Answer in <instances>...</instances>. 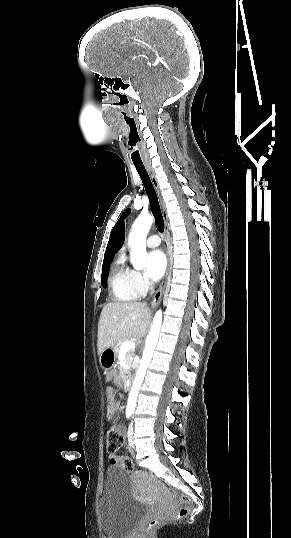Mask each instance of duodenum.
Listing matches in <instances>:
<instances>
[{
  "label": "duodenum",
  "mask_w": 291,
  "mask_h": 538,
  "mask_svg": "<svg viewBox=\"0 0 291 538\" xmlns=\"http://www.w3.org/2000/svg\"><path fill=\"white\" fill-rule=\"evenodd\" d=\"M135 377V374L133 372L127 373V386L129 388H132L134 386L133 378Z\"/></svg>",
  "instance_id": "410a0bca"
}]
</instances>
